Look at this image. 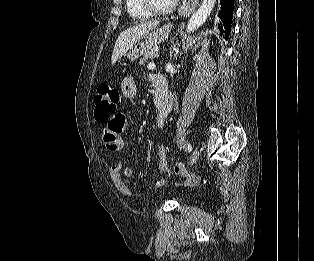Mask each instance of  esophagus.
<instances>
[{"label": "esophagus", "mask_w": 314, "mask_h": 261, "mask_svg": "<svg viewBox=\"0 0 314 261\" xmlns=\"http://www.w3.org/2000/svg\"><path fill=\"white\" fill-rule=\"evenodd\" d=\"M198 3L199 0H184L183 4H181L179 8V12L186 16H189L198 6Z\"/></svg>", "instance_id": "esophagus-1"}]
</instances>
